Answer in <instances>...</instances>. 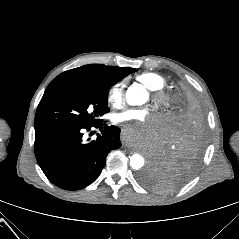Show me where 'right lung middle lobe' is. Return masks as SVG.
Wrapping results in <instances>:
<instances>
[{
    "label": "right lung middle lobe",
    "mask_w": 239,
    "mask_h": 239,
    "mask_svg": "<svg viewBox=\"0 0 239 239\" xmlns=\"http://www.w3.org/2000/svg\"><path fill=\"white\" fill-rule=\"evenodd\" d=\"M119 80L64 82L48 86L36 111V126H93L109 112L108 92Z\"/></svg>",
    "instance_id": "obj_1"
}]
</instances>
